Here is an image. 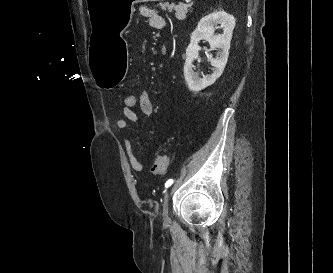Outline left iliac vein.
<instances>
[{
  "label": "left iliac vein",
  "instance_id": "1",
  "mask_svg": "<svg viewBox=\"0 0 333 273\" xmlns=\"http://www.w3.org/2000/svg\"><path fill=\"white\" fill-rule=\"evenodd\" d=\"M168 201H169V194L168 192L165 193L164 201H163V208H162V218L163 224L166 226L170 222L169 213H168Z\"/></svg>",
  "mask_w": 333,
  "mask_h": 273
}]
</instances>
